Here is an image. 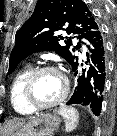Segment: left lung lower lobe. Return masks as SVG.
<instances>
[{"mask_svg":"<svg viewBox=\"0 0 117 136\" xmlns=\"http://www.w3.org/2000/svg\"><path fill=\"white\" fill-rule=\"evenodd\" d=\"M87 53L86 64L88 68H81L83 64L78 63V57L71 64L76 78V88L67 105L81 104L90 108L99 116L103 101V91L108 66L107 46L102 29L88 34L86 37Z\"/></svg>","mask_w":117,"mask_h":136,"instance_id":"left-lung-lower-lobe-1","label":"left lung lower lobe"}]
</instances>
